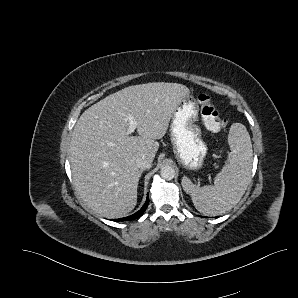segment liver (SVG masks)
<instances>
[{"mask_svg": "<svg viewBox=\"0 0 298 298\" xmlns=\"http://www.w3.org/2000/svg\"><path fill=\"white\" fill-rule=\"evenodd\" d=\"M190 94L177 82H148L122 88L85 110L69 149L73 184L84 203L110 218L130 213L137 202L136 159L153 160L173 111ZM133 113L138 136L126 137Z\"/></svg>", "mask_w": 298, "mask_h": 298, "instance_id": "1", "label": "liver"}]
</instances>
